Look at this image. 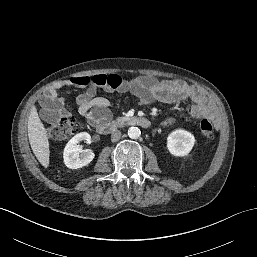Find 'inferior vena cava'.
Wrapping results in <instances>:
<instances>
[{
    "label": "inferior vena cava",
    "mask_w": 257,
    "mask_h": 257,
    "mask_svg": "<svg viewBox=\"0 0 257 257\" xmlns=\"http://www.w3.org/2000/svg\"><path fill=\"white\" fill-rule=\"evenodd\" d=\"M121 138V131L115 130L111 134V140L112 142H116Z\"/></svg>",
    "instance_id": "1"
}]
</instances>
